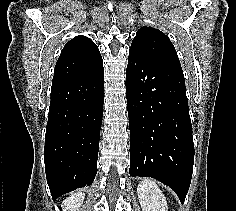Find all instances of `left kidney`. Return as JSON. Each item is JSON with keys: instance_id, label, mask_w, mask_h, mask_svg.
I'll list each match as a JSON object with an SVG mask.
<instances>
[{"instance_id": "5707ae66", "label": "left kidney", "mask_w": 236, "mask_h": 211, "mask_svg": "<svg viewBox=\"0 0 236 211\" xmlns=\"http://www.w3.org/2000/svg\"><path fill=\"white\" fill-rule=\"evenodd\" d=\"M142 211H168L166 198L155 182L144 179L137 188Z\"/></svg>"}]
</instances>
